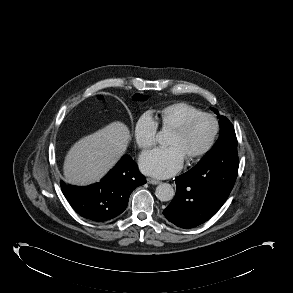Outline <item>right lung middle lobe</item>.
I'll list each match as a JSON object with an SVG mask.
<instances>
[{"label":"right lung middle lobe","mask_w":293,"mask_h":293,"mask_svg":"<svg viewBox=\"0 0 293 293\" xmlns=\"http://www.w3.org/2000/svg\"><path fill=\"white\" fill-rule=\"evenodd\" d=\"M134 99H136V100H144V99H146V97L143 96V95H141V94H136V95L134 96Z\"/></svg>","instance_id":"right-lung-middle-lobe-1"}]
</instances>
